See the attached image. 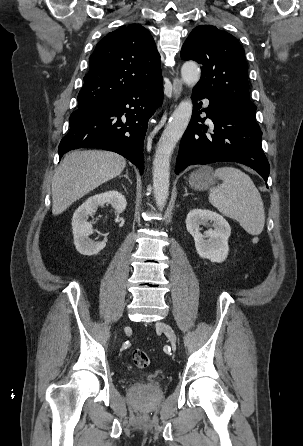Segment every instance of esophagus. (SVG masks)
Listing matches in <instances>:
<instances>
[{"instance_id":"esophagus-1","label":"esophagus","mask_w":303,"mask_h":446,"mask_svg":"<svg viewBox=\"0 0 303 446\" xmlns=\"http://www.w3.org/2000/svg\"><path fill=\"white\" fill-rule=\"evenodd\" d=\"M182 90H183V83L182 81L176 77L174 78L173 81V98L174 99H178L181 94H182Z\"/></svg>"}]
</instances>
